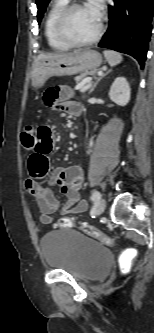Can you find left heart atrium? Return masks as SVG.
Listing matches in <instances>:
<instances>
[{
  "instance_id": "39dd6f15",
  "label": "left heart atrium",
  "mask_w": 154,
  "mask_h": 333,
  "mask_svg": "<svg viewBox=\"0 0 154 333\" xmlns=\"http://www.w3.org/2000/svg\"><path fill=\"white\" fill-rule=\"evenodd\" d=\"M87 7L100 17L102 9V0H89Z\"/></svg>"
}]
</instances>
